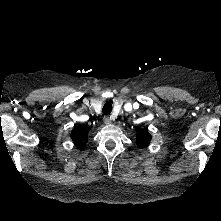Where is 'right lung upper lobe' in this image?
<instances>
[{"label": "right lung upper lobe", "instance_id": "right-lung-upper-lobe-1", "mask_svg": "<svg viewBox=\"0 0 221 221\" xmlns=\"http://www.w3.org/2000/svg\"><path fill=\"white\" fill-rule=\"evenodd\" d=\"M71 138L77 147L82 148L88 140V130L82 126L76 127L71 133Z\"/></svg>", "mask_w": 221, "mask_h": 221}]
</instances>
